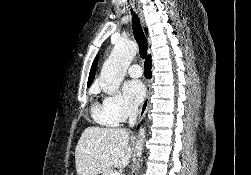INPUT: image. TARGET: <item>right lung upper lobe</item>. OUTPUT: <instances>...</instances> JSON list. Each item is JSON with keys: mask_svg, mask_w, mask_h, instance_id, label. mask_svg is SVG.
Here are the masks:
<instances>
[{"mask_svg": "<svg viewBox=\"0 0 251 175\" xmlns=\"http://www.w3.org/2000/svg\"><path fill=\"white\" fill-rule=\"evenodd\" d=\"M151 56L149 55L147 59H150ZM97 60H98V57H96L92 67H91V71H90V74H89V79H88V86L91 84L93 78H94V73H95V68H96V65H97Z\"/></svg>", "mask_w": 251, "mask_h": 175, "instance_id": "right-lung-upper-lobe-1", "label": "right lung upper lobe"}]
</instances>
